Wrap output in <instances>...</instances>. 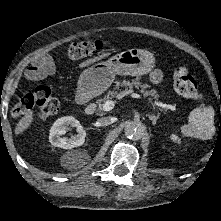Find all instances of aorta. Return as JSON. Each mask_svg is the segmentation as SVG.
Here are the masks:
<instances>
[{
	"label": "aorta",
	"mask_w": 221,
	"mask_h": 221,
	"mask_svg": "<svg viewBox=\"0 0 221 221\" xmlns=\"http://www.w3.org/2000/svg\"><path fill=\"white\" fill-rule=\"evenodd\" d=\"M145 131L144 125L139 121H126L124 127L125 135L133 140L142 138Z\"/></svg>",
	"instance_id": "aorta-1"
}]
</instances>
